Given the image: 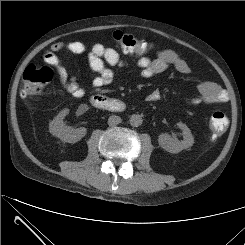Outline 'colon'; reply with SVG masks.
I'll list each match as a JSON object with an SVG mask.
<instances>
[{
	"label": "colon",
	"mask_w": 245,
	"mask_h": 245,
	"mask_svg": "<svg viewBox=\"0 0 245 245\" xmlns=\"http://www.w3.org/2000/svg\"><path fill=\"white\" fill-rule=\"evenodd\" d=\"M114 42L126 53L139 55L149 54L152 44L133 35L115 31L112 35ZM53 77L49 67L29 65L23 73V86L21 96L33 99ZM228 125V118L222 111H215L210 118V134L213 139L224 133Z\"/></svg>",
	"instance_id": "obj_1"
}]
</instances>
